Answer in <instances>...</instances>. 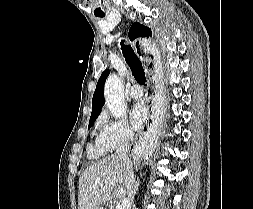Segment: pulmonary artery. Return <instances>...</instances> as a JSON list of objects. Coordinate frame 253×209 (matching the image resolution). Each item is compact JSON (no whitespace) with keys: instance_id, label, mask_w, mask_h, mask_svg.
<instances>
[{"instance_id":"pulmonary-artery-1","label":"pulmonary artery","mask_w":253,"mask_h":209,"mask_svg":"<svg viewBox=\"0 0 253 209\" xmlns=\"http://www.w3.org/2000/svg\"><path fill=\"white\" fill-rule=\"evenodd\" d=\"M130 96L134 99H140L143 97V90L139 85H133L130 88Z\"/></svg>"}]
</instances>
